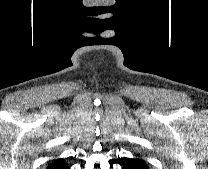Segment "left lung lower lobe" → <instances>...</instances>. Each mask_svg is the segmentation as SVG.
<instances>
[{
    "label": "left lung lower lobe",
    "mask_w": 208,
    "mask_h": 169,
    "mask_svg": "<svg viewBox=\"0 0 208 169\" xmlns=\"http://www.w3.org/2000/svg\"><path fill=\"white\" fill-rule=\"evenodd\" d=\"M122 169H149L147 163L140 158H131L123 164Z\"/></svg>",
    "instance_id": "left-lung-lower-lobe-1"
}]
</instances>
